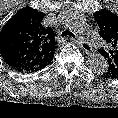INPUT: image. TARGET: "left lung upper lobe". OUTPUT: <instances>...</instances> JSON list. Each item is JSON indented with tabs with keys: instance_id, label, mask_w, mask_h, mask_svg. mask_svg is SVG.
I'll list each match as a JSON object with an SVG mask.
<instances>
[{
	"instance_id": "5c2ea615",
	"label": "left lung upper lobe",
	"mask_w": 118,
	"mask_h": 118,
	"mask_svg": "<svg viewBox=\"0 0 118 118\" xmlns=\"http://www.w3.org/2000/svg\"><path fill=\"white\" fill-rule=\"evenodd\" d=\"M93 16L100 28V36L108 44L107 49L98 50L108 63L102 77L118 79V16L107 10L97 11Z\"/></svg>"
}]
</instances>
